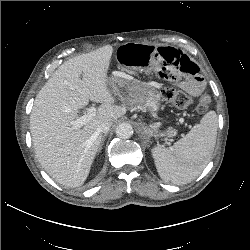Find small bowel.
Segmentation results:
<instances>
[{
	"label": "small bowel",
	"mask_w": 250,
	"mask_h": 250,
	"mask_svg": "<svg viewBox=\"0 0 250 250\" xmlns=\"http://www.w3.org/2000/svg\"><path fill=\"white\" fill-rule=\"evenodd\" d=\"M118 69L130 76H155L177 83L192 95L204 89L198 66L186 55L170 47L125 44L116 52Z\"/></svg>",
	"instance_id": "1"
}]
</instances>
